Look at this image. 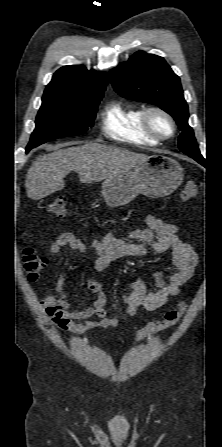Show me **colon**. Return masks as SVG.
<instances>
[{
    "instance_id": "obj_1",
    "label": "colon",
    "mask_w": 222,
    "mask_h": 447,
    "mask_svg": "<svg viewBox=\"0 0 222 447\" xmlns=\"http://www.w3.org/2000/svg\"><path fill=\"white\" fill-rule=\"evenodd\" d=\"M198 195V188L194 182H188L183 189L181 198L183 201H188ZM47 214L56 217L64 218L68 214L67 198L64 196L56 197L45 205ZM23 266L30 281H35L45 270L48 264V258L36 252L32 248H25L22 254ZM186 310V305L180 303L176 308L168 311L163 319L157 323H152L143 328L137 335L138 340H143L153 334L167 330L176 325Z\"/></svg>"
}]
</instances>
